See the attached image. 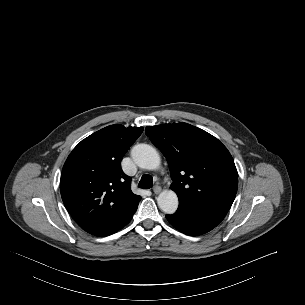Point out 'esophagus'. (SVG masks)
Wrapping results in <instances>:
<instances>
[{"label": "esophagus", "instance_id": "34e87169", "mask_svg": "<svg viewBox=\"0 0 305 305\" xmlns=\"http://www.w3.org/2000/svg\"><path fill=\"white\" fill-rule=\"evenodd\" d=\"M153 192L154 194H159L161 192V187L160 186L153 187Z\"/></svg>", "mask_w": 305, "mask_h": 305}]
</instances>
